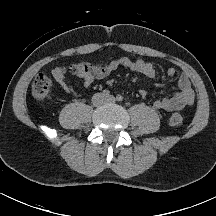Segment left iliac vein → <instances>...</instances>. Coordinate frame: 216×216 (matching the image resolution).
Wrapping results in <instances>:
<instances>
[{
  "label": "left iliac vein",
  "instance_id": "obj_1",
  "mask_svg": "<svg viewBox=\"0 0 216 216\" xmlns=\"http://www.w3.org/2000/svg\"><path fill=\"white\" fill-rule=\"evenodd\" d=\"M115 102V97L114 96H109L105 98V103H114Z\"/></svg>",
  "mask_w": 216,
  "mask_h": 216
}]
</instances>
